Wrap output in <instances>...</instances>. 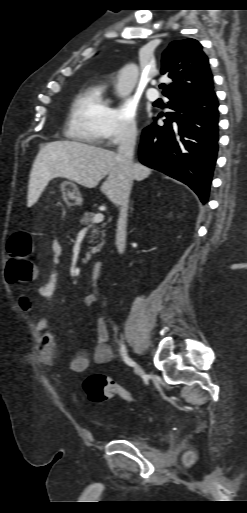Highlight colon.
<instances>
[{"label":"colon","instance_id":"colon-1","mask_svg":"<svg viewBox=\"0 0 247 513\" xmlns=\"http://www.w3.org/2000/svg\"><path fill=\"white\" fill-rule=\"evenodd\" d=\"M8 263L5 277L9 283L29 281L34 277L32 260V239L25 232L15 233L9 240ZM87 398L93 403H104L114 397H119L129 404L135 403L134 395L118 385L106 374L96 373L88 376L83 383Z\"/></svg>","mask_w":247,"mask_h":513}]
</instances>
